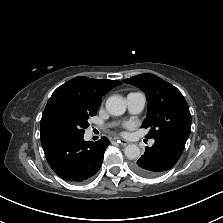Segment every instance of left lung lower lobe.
<instances>
[{
  "instance_id": "obj_1",
  "label": "left lung lower lobe",
  "mask_w": 223,
  "mask_h": 223,
  "mask_svg": "<svg viewBox=\"0 0 223 223\" xmlns=\"http://www.w3.org/2000/svg\"><path fill=\"white\" fill-rule=\"evenodd\" d=\"M152 147L132 164L133 171L142 177H156L171 169L180 158L186 141L173 135L155 138Z\"/></svg>"
}]
</instances>
